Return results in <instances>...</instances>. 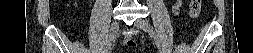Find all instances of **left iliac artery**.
Listing matches in <instances>:
<instances>
[{
	"instance_id": "obj_1",
	"label": "left iliac artery",
	"mask_w": 253,
	"mask_h": 53,
	"mask_svg": "<svg viewBox=\"0 0 253 53\" xmlns=\"http://www.w3.org/2000/svg\"><path fill=\"white\" fill-rule=\"evenodd\" d=\"M151 36L153 37V39H152L153 45L156 46L157 51L159 53H162V48H163L162 42L161 41H157L158 36L156 35L155 32L152 31Z\"/></svg>"
}]
</instances>
